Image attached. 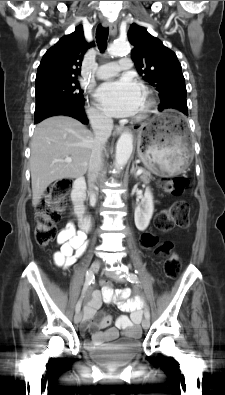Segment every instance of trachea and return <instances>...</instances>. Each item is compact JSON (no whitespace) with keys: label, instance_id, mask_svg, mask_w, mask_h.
<instances>
[{"label":"trachea","instance_id":"obj_1","mask_svg":"<svg viewBox=\"0 0 225 395\" xmlns=\"http://www.w3.org/2000/svg\"><path fill=\"white\" fill-rule=\"evenodd\" d=\"M109 34V28H103L101 25L96 30V42L100 51H105L107 46V39Z\"/></svg>","mask_w":225,"mask_h":395}]
</instances>
